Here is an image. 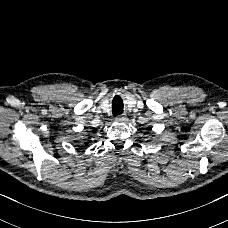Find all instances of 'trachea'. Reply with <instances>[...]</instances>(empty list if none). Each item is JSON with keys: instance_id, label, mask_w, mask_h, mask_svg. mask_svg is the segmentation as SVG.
<instances>
[{"instance_id": "1", "label": "trachea", "mask_w": 228, "mask_h": 228, "mask_svg": "<svg viewBox=\"0 0 228 228\" xmlns=\"http://www.w3.org/2000/svg\"><path fill=\"white\" fill-rule=\"evenodd\" d=\"M113 107H112V110H113V115L114 116H118V115H121L123 113V103L122 101L121 102H114L113 101Z\"/></svg>"}]
</instances>
